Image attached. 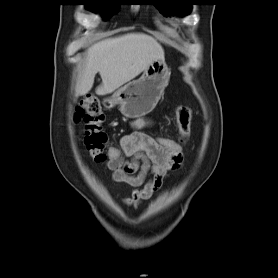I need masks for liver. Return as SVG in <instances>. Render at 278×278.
I'll use <instances>...</instances> for the list:
<instances>
[{"label": "liver", "mask_w": 278, "mask_h": 278, "mask_svg": "<svg viewBox=\"0 0 278 278\" xmlns=\"http://www.w3.org/2000/svg\"><path fill=\"white\" fill-rule=\"evenodd\" d=\"M156 60H164V50L156 39L144 33H128L96 42L86 50V61L75 95L87 94L97 73L102 83L96 93H112Z\"/></svg>", "instance_id": "obj_1"}]
</instances>
